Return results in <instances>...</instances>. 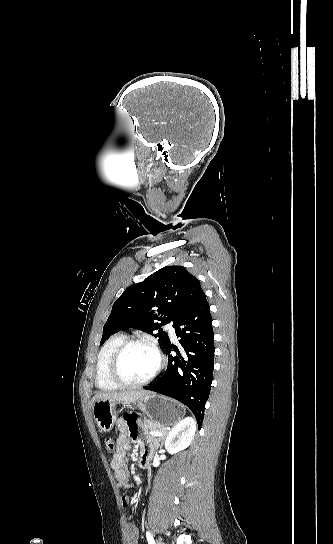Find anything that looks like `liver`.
I'll return each mask as SVG.
<instances>
[{
    "label": "liver",
    "instance_id": "1",
    "mask_svg": "<svg viewBox=\"0 0 333 544\" xmlns=\"http://www.w3.org/2000/svg\"><path fill=\"white\" fill-rule=\"evenodd\" d=\"M150 394L144 390H127L121 392H99L91 400V404L98 400H109L113 402H120L123 404H130L136 402L143 396Z\"/></svg>",
    "mask_w": 333,
    "mask_h": 544
}]
</instances>
